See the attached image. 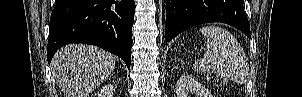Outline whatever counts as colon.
I'll use <instances>...</instances> for the list:
<instances>
[{
	"label": "colon",
	"instance_id": "colon-1",
	"mask_svg": "<svg viewBox=\"0 0 302 97\" xmlns=\"http://www.w3.org/2000/svg\"><path fill=\"white\" fill-rule=\"evenodd\" d=\"M207 79L210 83L214 85H221L224 83V79L221 76L214 73L209 74Z\"/></svg>",
	"mask_w": 302,
	"mask_h": 97
}]
</instances>
